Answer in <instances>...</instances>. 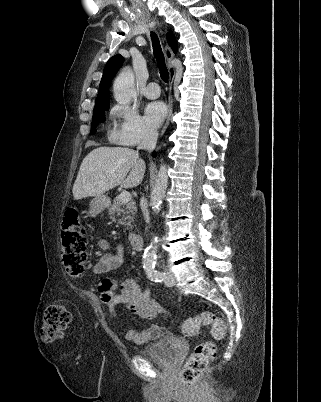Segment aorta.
I'll use <instances>...</instances> for the list:
<instances>
[{
    "label": "aorta",
    "mask_w": 321,
    "mask_h": 402,
    "mask_svg": "<svg viewBox=\"0 0 321 402\" xmlns=\"http://www.w3.org/2000/svg\"><path fill=\"white\" fill-rule=\"evenodd\" d=\"M114 98L119 104L129 103L136 95L134 74L130 67L125 68L115 79ZM168 184L167 168L161 164L155 185L151 191L150 205L154 213H159ZM158 237L154 236L143 255V267L152 270L156 260Z\"/></svg>",
    "instance_id": "1"
}]
</instances>
